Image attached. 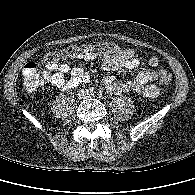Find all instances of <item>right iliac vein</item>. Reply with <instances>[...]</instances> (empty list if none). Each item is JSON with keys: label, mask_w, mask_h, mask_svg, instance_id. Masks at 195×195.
<instances>
[{"label": "right iliac vein", "mask_w": 195, "mask_h": 195, "mask_svg": "<svg viewBox=\"0 0 195 195\" xmlns=\"http://www.w3.org/2000/svg\"><path fill=\"white\" fill-rule=\"evenodd\" d=\"M86 96H87L86 92H81L78 94L79 99H84V98H86Z\"/></svg>", "instance_id": "right-iliac-vein-1"}]
</instances>
